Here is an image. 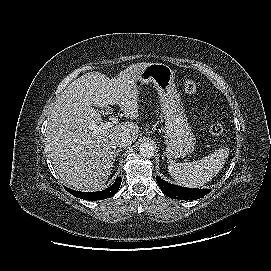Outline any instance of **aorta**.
<instances>
[{
	"instance_id": "aorta-1",
	"label": "aorta",
	"mask_w": 271,
	"mask_h": 271,
	"mask_svg": "<svg viewBox=\"0 0 271 271\" xmlns=\"http://www.w3.org/2000/svg\"><path fill=\"white\" fill-rule=\"evenodd\" d=\"M140 155L145 158H151L154 155L155 149L149 142L141 143L139 146Z\"/></svg>"
}]
</instances>
